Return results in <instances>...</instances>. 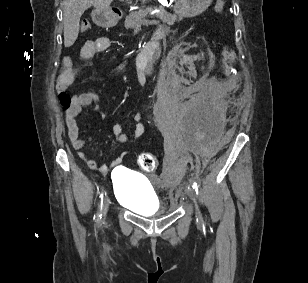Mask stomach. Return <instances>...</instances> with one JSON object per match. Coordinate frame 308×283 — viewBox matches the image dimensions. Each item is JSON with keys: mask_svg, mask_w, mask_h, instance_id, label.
<instances>
[{"mask_svg": "<svg viewBox=\"0 0 308 283\" xmlns=\"http://www.w3.org/2000/svg\"><path fill=\"white\" fill-rule=\"evenodd\" d=\"M174 11L180 17H195L203 13L211 4L212 0H174ZM97 22L102 26H113L116 20L108 14L99 11Z\"/></svg>", "mask_w": 308, "mask_h": 283, "instance_id": "1", "label": "stomach"}]
</instances>
